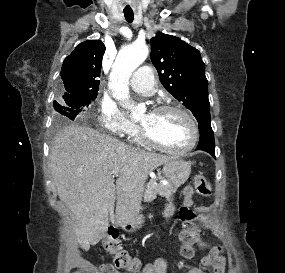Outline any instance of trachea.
<instances>
[{
  "mask_svg": "<svg viewBox=\"0 0 285 273\" xmlns=\"http://www.w3.org/2000/svg\"><path fill=\"white\" fill-rule=\"evenodd\" d=\"M124 16L127 22L131 23L134 19L133 12H124Z\"/></svg>",
  "mask_w": 285,
  "mask_h": 273,
  "instance_id": "trachea-1",
  "label": "trachea"
}]
</instances>
